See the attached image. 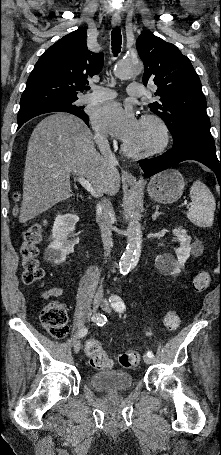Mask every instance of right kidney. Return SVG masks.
I'll return each mask as SVG.
<instances>
[{
    "mask_svg": "<svg viewBox=\"0 0 221 455\" xmlns=\"http://www.w3.org/2000/svg\"><path fill=\"white\" fill-rule=\"evenodd\" d=\"M79 217L74 214L58 215L55 218L52 229V241L45 249L44 258L54 264L65 262L67 255L74 252V245L78 239L68 240L74 237L73 231Z\"/></svg>",
    "mask_w": 221,
    "mask_h": 455,
    "instance_id": "obj_1",
    "label": "right kidney"
}]
</instances>
